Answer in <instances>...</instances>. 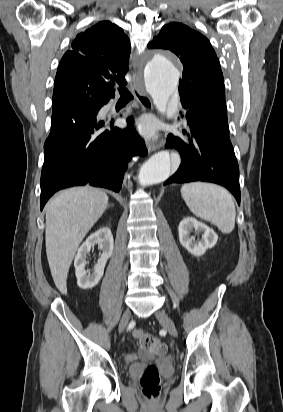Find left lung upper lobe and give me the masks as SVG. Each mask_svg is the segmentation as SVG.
I'll list each match as a JSON object with an SVG mask.
<instances>
[{"label": "left lung upper lobe", "mask_w": 283, "mask_h": 412, "mask_svg": "<svg viewBox=\"0 0 283 412\" xmlns=\"http://www.w3.org/2000/svg\"><path fill=\"white\" fill-rule=\"evenodd\" d=\"M148 47L170 50L183 63L179 81L183 107L213 127L228 128L223 74L206 37L186 25L173 22L162 27Z\"/></svg>", "instance_id": "obj_1"}]
</instances>
